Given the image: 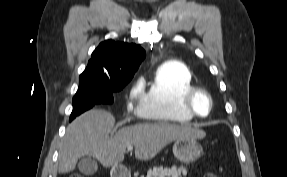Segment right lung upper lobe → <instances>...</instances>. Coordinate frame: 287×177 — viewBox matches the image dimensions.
Masks as SVG:
<instances>
[{"label":"right lung upper lobe","instance_id":"obj_1","mask_svg":"<svg viewBox=\"0 0 287 177\" xmlns=\"http://www.w3.org/2000/svg\"><path fill=\"white\" fill-rule=\"evenodd\" d=\"M145 55L136 44L107 40L94 50L83 73L104 86L131 80Z\"/></svg>","mask_w":287,"mask_h":177}]
</instances>
